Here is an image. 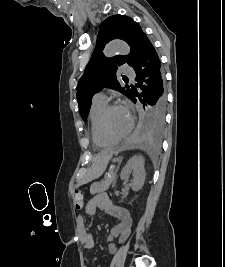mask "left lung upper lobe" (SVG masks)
<instances>
[{"label": "left lung upper lobe", "instance_id": "obj_1", "mask_svg": "<svg viewBox=\"0 0 225 267\" xmlns=\"http://www.w3.org/2000/svg\"><path fill=\"white\" fill-rule=\"evenodd\" d=\"M144 36L145 34L139 24L125 15H113L102 22L99 27L95 50L77 86V101L84 121L89 113L93 95L103 87L110 86V88L120 91L129 98L131 89L129 86L124 88L120 86L116 80V70L124 63L131 67L135 64ZM114 39L126 41L131 47L130 54L106 58L102 50L109 41ZM164 117L165 111L149 110L148 126L155 135L161 133Z\"/></svg>", "mask_w": 225, "mask_h": 267}]
</instances>
